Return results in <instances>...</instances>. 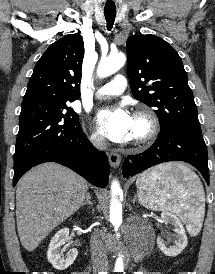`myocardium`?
I'll list each match as a JSON object with an SVG mask.
<instances>
[{
    "instance_id": "obj_1",
    "label": "myocardium",
    "mask_w": 215,
    "mask_h": 274,
    "mask_svg": "<svg viewBox=\"0 0 215 274\" xmlns=\"http://www.w3.org/2000/svg\"><path fill=\"white\" fill-rule=\"evenodd\" d=\"M134 118L140 119L145 123L146 131L141 136L131 139L132 144L144 146L151 143L160 131V123L156 114L150 109L142 108L134 113Z\"/></svg>"
}]
</instances>
